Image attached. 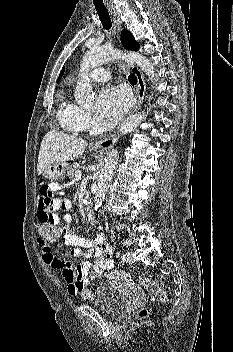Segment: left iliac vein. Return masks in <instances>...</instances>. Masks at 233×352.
Segmentation results:
<instances>
[{
    "instance_id": "4c4485c4",
    "label": "left iliac vein",
    "mask_w": 233,
    "mask_h": 352,
    "mask_svg": "<svg viewBox=\"0 0 233 352\" xmlns=\"http://www.w3.org/2000/svg\"><path fill=\"white\" fill-rule=\"evenodd\" d=\"M126 256H127L126 262L129 263V264L133 263L132 253L131 252H127Z\"/></svg>"
}]
</instances>
